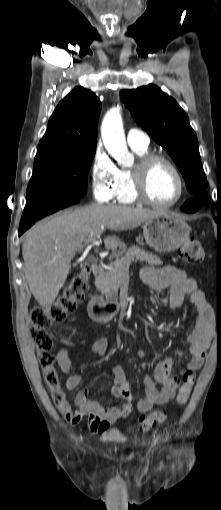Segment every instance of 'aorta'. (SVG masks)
I'll list each match as a JSON object with an SVG mask.
<instances>
[{"instance_id":"aorta-1","label":"aorta","mask_w":221,"mask_h":510,"mask_svg":"<svg viewBox=\"0 0 221 510\" xmlns=\"http://www.w3.org/2000/svg\"><path fill=\"white\" fill-rule=\"evenodd\" d=\"M101 137L107 152L114 157L119 164L129 166L133 157L128 151L122 116L117 108L109 110L101 124Z\"/></svg>"}]
</instances>
